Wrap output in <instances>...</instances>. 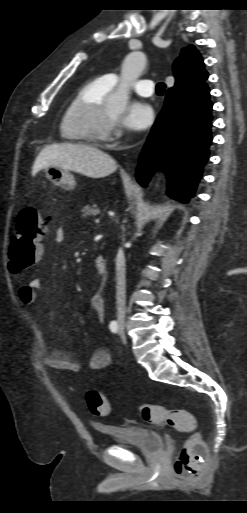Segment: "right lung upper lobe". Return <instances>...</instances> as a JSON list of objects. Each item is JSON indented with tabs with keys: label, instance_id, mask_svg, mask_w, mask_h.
Masks as SVG:
<instances>
[{
	"label": "right lung upper lobe",
	"instance_id": "cb5924a9",
	"mask_svg": "<svg viewBox=\"0 0 247 513\" xmlns=\"http://www.w3.org/2000/svg\"><path fill=\"white\" fill-rule=\"evenodd\" d=\"M174 91L191 92L205 84L208 73L204 69L203 59L193 45L183 48L180 57L173 63Z\"/></svg>",
	"mask_w": 247,
	"mask_h": 513
}]
</instances>
